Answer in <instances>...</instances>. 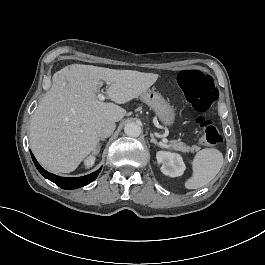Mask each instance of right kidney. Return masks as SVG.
<instances>
[{
  "mask_svg": "<svg viewBox=\"0 0 265 265\" xmlns=\"http://www.w3.org/2000/svg\"><path fill=\"white\" fill-rule=\"evenodd\" d=\"M95 156L94 155H89L85 160H84V165L85 167L89 168L92 167L95 163Z\"/></svg>",
  "mask_w": 265,
  "mask_h": 265,
  "instance_id": "right-kidney-1",
  "label": "right kidney"
}]
</instances>
